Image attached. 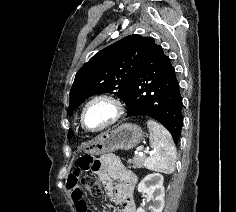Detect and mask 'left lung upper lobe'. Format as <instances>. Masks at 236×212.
<instances>
[{
	"instance_id": "5c2ea615",
	"label": "left lung upper lobe",
	"mask_w": 236,
	"mask_h": 212,
	"mask_svg": "<svg viewBox=\"0 0 236 212\" xmlns=\"http://www.w3.org/2000/svg\"><path fill=\"white\" fill-rule=\"evenodd\" d=\"M150 39L130 35L95 54L75 75L67 114L94 94L111 93L124 100ZM72 136L73 131L70 129L68 137Z\"/></svg>"
}]
</instances>
